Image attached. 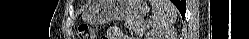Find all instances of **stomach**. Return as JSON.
<instances>
[{
  "instance_id": "1",
  "label": "stomach",
  "mask_w": 249,
  "mask_h": 39,
  "mask_svg": "<svg viewBox=\"0 0 249 39\" xmlns=\"http://www.w3.org/2000/svg\"><path fill=\"white\" fill-rule=\"evenodd\" d=\"M147 12L145 0H97L83 18L91 25H101L112 20L140 21Z\"/></svg>"
}]
</instances>
